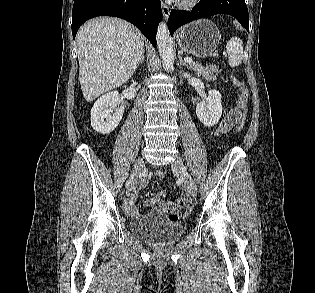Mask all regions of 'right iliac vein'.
<instances>
[{"label": "right iliac vein", "mask_w": 315, "mask_h": 293, "mask_svg": "<svg viewBox=\"0 0 315 293\" xmlns=\"http://www.w3.org/2000/svg\"><path fill=\"white\" fill-rule=\"evenodd\" d=\"M143 167H144V161L142 158H139L136 161L134 169L132 171V180L130 182V186H129V189L127 192L128 197H130L132 195L133 191L135 190L136 185H137V178L140 175V173L142 172Z\"/></svg>", "instance_id": "63e3f726"}]
</instances>
